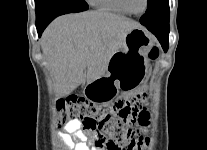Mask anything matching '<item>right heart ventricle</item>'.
I'll use <instances>...</instances> for the list:
<instances>
[{
	"label": "right heart ventricle",
	"instance_id": "e07e8e85",
	"mask_svg": "<svg viewBox=\"0 0 207 150\" xmlns=\"http://www.w3.org/2000/svg\"><path fill=\"white\" fill-rule=\"evenodd\" d=\"M91 4L101 10L129 15V11L125 8L121 0H89Z\"/></svg>",
	"mask_w": 207,
	"mask_h": 150
}]
</instances>
